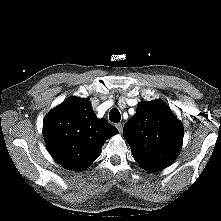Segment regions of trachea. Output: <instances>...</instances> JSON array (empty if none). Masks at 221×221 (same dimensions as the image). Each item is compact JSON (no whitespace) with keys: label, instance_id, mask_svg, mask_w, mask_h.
I'll list each match as a JSON object with an SVG mask.
<instances>
[{"label":"trachea","instance_id":"obj_1","mask_svg":"<svg viewBox=\"0 0 221 221\" xmlns=\"http://www.w3.org/2000/svg\"><path fill=\"white\" fill-rule=\"evenodd\" d=\"M109 119L111 122L118 123L121 119V114L117 108H113L109 113Z\"/></svg>","mask_w":221,"mask_h":221}]
</instances>
